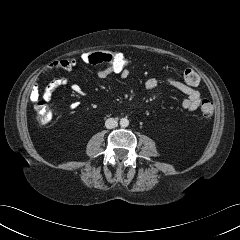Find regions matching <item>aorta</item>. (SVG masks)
<instances>
[{"instance_id": "aorta-1", "label": "aorta", "mask_w": 240, "mask_h": 240, "mask_svg": "<svg viewBox=\"0 0 240 240\" xmlns=\"http://www.w3.org/2000/svg\"><path fill=\"white\" fill-rule=\"evenodd\" d=\"M129 125V120L127 118H122L120 120V126L121 127H127Z\"/></svg>"}]
</instances>
